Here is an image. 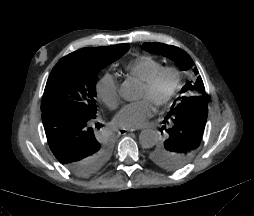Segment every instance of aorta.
<instances>
[{
    "label": "aorta",
    "mask_w": 254,
    "mask_h": 216,
    "mask_svg": "<svg viewBox=\"0 0 254 216\" xmlns=\"http://www.w3.org/2000/svg\"><path fill=\"white\" fill-rule=\"evenodd\" d=\"M158 140V135L151 129L142 130L139 135L140 144L145 148L153 147Z\"/></svg>",
    "instance_id": "obj_1"
}]
</instances>
